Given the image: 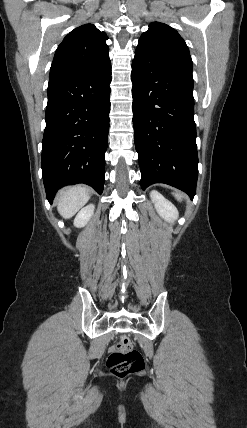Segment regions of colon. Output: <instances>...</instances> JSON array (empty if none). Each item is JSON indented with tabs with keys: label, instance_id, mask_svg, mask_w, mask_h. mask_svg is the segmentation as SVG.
I'll return each instance as SVG.
<instances>
[{
	"label": "colon",
	"instance_id": "5ec220e1",
	"mask_svg": "<svg viewBox=\"0 0 247 428\" xmlns=\"http://www.w3.org/2000/svg\"><path fill=\"white\" fill-rule=\"evenodd\" d=\"M107 367L114 376L123 378L143 370L144 360L141 353L134 349L130 340L123 337L108 356Z\"/></svg>",
	"mask_w": 247,
	"mask_h": 428
}]
</instances>
